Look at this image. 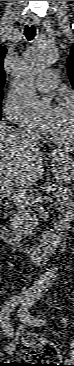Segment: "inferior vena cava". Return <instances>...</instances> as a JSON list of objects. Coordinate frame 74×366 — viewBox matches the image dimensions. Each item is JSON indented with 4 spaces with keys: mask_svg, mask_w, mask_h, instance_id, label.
Listing matches in <instances>:
<instances>
[{
    "mask_svg": "<svg viewBox=\"0 0 74 366\" xmlns=\"http://www.w3.org/2000/svg\"><path fill=\"white\" fill-rule=\"evenodd\" d=\"M22 137L26 139L25 140L26 143H31V145H33V146H38V144H39L38 136L30 130L22 131Z\"/></svg>",
    "mask_w": 74,
    "mask_h": 366,
    "instance_id": "602c4592",
    "label": "inferior vena cava"
}]
</instances>
